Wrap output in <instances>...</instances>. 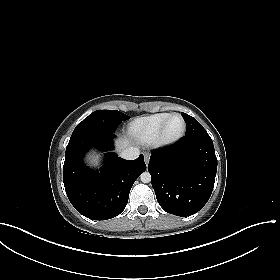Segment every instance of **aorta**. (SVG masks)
<instances>
[{
	"mask_svg": "<svg viewBox=\"0 0 280 280\" xmlns=\"http://www.w3.org/2000/svg\"><path fill=\"white\" fill-rule=\"evenodd\" d=\"M143 183H149L151 181V174L149 172H143L140 176Z\"/></svg>",
	"mask_w": 280,
	"mask_h": 280,
	"instance_id": "obj_1",
	"label": "aorta"
}]
</instances>
